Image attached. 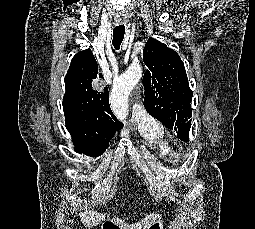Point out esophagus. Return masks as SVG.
<instances>
[{
    "instance_id": "esophagus-1",
    "label": "esophagus",
    "mask_w": 255,
    "mask_h": 229,
    "mask_svg": "<svg viewBox=\"0 0 255 229\" xmlns=\"http://www.w3.org/2000/svg\"><path fill=\"white\" fill-rule=\"evenodd\" d=\"M117 24H121V22H117Z\"/></svg>"
}]
</instances>
